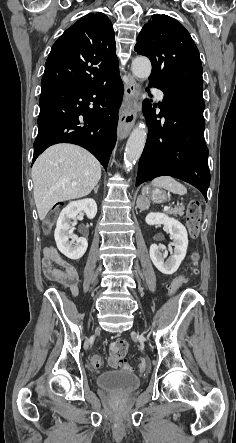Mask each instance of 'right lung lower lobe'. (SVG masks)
<instances>
[{
    "label": "right lung lower lobe",
    "mask_w": 236,
    "mask_h": 443,
    "mask_svg": "<svg viewBox=\"0 0 236 443\" xmlns=\"http://www.w3.org/2000/svg\"><path fill=\"white\" fill-rule=\"evenodd\" d=\"M122 93L118 73L91 84L42 88L33 162L51 145L73 143L90 151L106 169L116 142Z\"/></svg>",
    "instance_id": "98d812e1"
}]
</instances>
